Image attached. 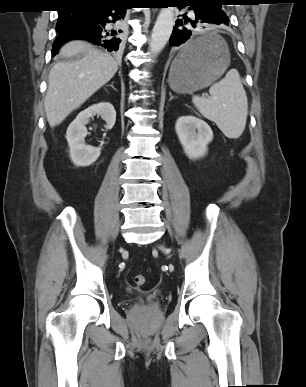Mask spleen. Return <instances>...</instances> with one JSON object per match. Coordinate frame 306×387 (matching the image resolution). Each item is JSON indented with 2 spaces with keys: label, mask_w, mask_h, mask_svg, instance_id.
<instances>
[{
  "label": "spleen",
  "mask_w": 306,
  "mask_h": 387,
  "mask_svg": "<svg viewBox=\"0 0 306 387\" xmlns=\"http://www.w3.org/2000/svg\"><path fill=\"white\" fill-rule=\"evenodd\" d=\"M210 98L194 96L198 111L216 123L228 138H238L244 131L248 115V100L237 70H229L225 77L213 84Z\"/></svg>",
  "instance_id": "obj_1"
}]
</instances>
